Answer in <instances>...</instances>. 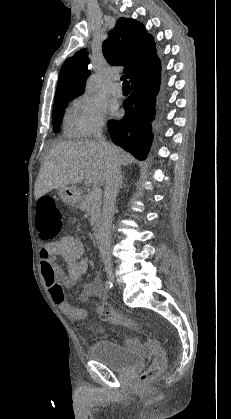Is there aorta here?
Wrapping results in <instances>:
<instances>
[{
    "mask_svg": "<svg viewBox=\"0 0 231 419\" xmlns=\"http://www.w3.org/2000/svg\"><path fill=\"white\" fill-rule=\"evenodd\" d=\"M96 87H97L96 77L93 76L87 82L86 92L92 93L93 91H95Z\"/></svg>",
    "mask_w": 231,
    "mask_h": 419,
    "instance_id": "obj_1",
    "label": "aorta"
}]
</instances>
